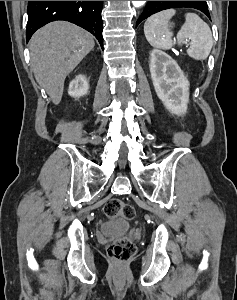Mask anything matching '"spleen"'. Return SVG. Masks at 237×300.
Wrapping results in <instances>:
<instances>
[{"mask_svg": "<svg viewBox=\"0 0 237 300\" xmlns=\"http://www.w3.org/2000/svg\"><path fill=\"white\" fill-rule=\"evenodd\" d=\"M175 13V9H167L147 19L144 25V35L151 47L163 49V51L171 49L173 33H170L168 23ZM185 39H191V45L187 49L189 57L195 61L207 59L213 47L212 33L207 23H204L195 13H186L185 23L177 33V41H185Z\"/></svg>", "mask_w": 237, "mask_h": 300, "instance_id": "spleen-1", "label": "spleen"}]
</instances>
